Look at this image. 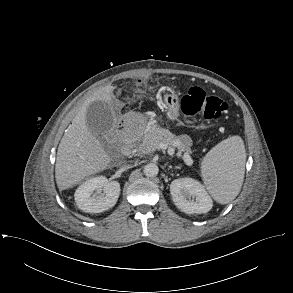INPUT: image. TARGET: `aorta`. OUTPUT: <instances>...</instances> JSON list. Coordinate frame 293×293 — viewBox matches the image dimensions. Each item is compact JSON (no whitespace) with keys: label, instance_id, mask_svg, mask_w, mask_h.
<instances>
[{"label":"aorta","instance_id":"1","mask_svg":"<svg viewBox=\"0 0 293 293\" xmlns=\"http://www.w3.org/2000/svg\"><path fill=\"white\" fill-rule=\"evenodd\" d=\"M143 172L147 177H154L158 174L159 168L155 163H148L144 166Z\"/></svg>","mask_w":293,"mask_h":293}]
</instances>
